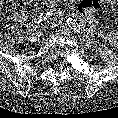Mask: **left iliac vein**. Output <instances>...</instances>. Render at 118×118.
<instances>
[{
    "label": "left iliac vein",
    "instance_id": "left-iliac-vein-1",
    "mask_svg": "<svg viewBox=\"0 0 118 118\" xmlns=\"http://www.w3.org/2000/svg\"><path fill=\"white\" fill-rule=\"evenodd\" d=\"M59 25H61V31L64 33V34H67L69 32V28L67 27V25H62L61 23H59Z\"/></svg>",
    "mask_w": 118,
    "mask_h": 118
}]
</instances>
